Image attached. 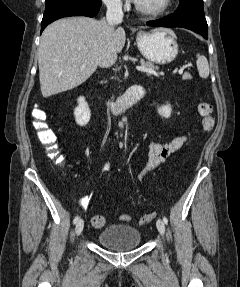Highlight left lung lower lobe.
I'll return each instance as SVG.
<instances>
[{"mask_svg":"<svg viewBox=\"0 0 240 287\" xmlns=\"http://www.w3.org/2000/svg\"><path fill=\"white\" fill-rule=\"evenodd\" d=\"M149 26L183 27L208 39V25L204 15L203 0H180L178 9L168 17L149 21Z\"/></svg>","mask_w":240,"mask_h":287,"instance_id":"left-lung-lower-lobe-1","label":"left lung lower lobe"}]
</instances>
